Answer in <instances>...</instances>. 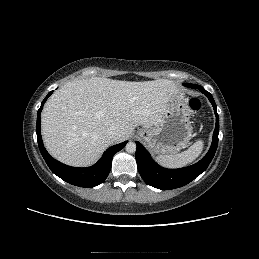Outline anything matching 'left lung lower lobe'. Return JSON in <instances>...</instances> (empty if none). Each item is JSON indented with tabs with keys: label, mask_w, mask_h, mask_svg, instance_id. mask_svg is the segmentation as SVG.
<instances>
[{
	"label": "left lung lower lobe",
	"mask_w": 259,
	"mask_h": 259,
	"mask_svg": "<svg viewBox=\"0 0 259 259\" xmlns=\"http://www.w3.org/2000/svg\"><path fill=\"white\" fill-rule=\"evenodd\" d=\"M206 97H208L209 101L211 102L215 116H216V126L212 138L211 147L206 154V156L200 160L198 163L181 168V169H165L159 166L148 153V151L144 148V146L136 142L137 150H136V161L138 171L142 177V179L155 188L161 190H170L182 187L192 180H194L197 176L203 173L208 165L210 164L211 160L214 157L218 146V134H219V116L217 114V106L213 99V96L203 89L201 86H196Z\"/></svg>",
	"instance_id": "left-lung-lower-lobe-1"
}]
</instances>
